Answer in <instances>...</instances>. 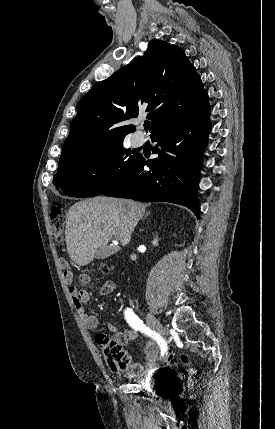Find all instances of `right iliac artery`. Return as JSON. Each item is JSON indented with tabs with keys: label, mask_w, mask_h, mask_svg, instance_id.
<instances>
[{
	"label": "right iliac artery",
	"mask_w": 275,
	"mask_h": 429,
	"mask_svg": "<svg viewBox=\"0 0 275 429\" xmlns=\"http://www.w3.org/2000/svg\"><path fill=\"white\" fill-rule=\"evenodd\" d=\"M124 315H125L126 321L128 322V324L133 329H135L136 331L138 330V331L148 335L149 337L153 338L158 343V345L161 348V355L163 356L167 350V344H166L165 340L160 336V334H158L154 330L147 327L143 323V321L137 315H135L134 312L130 308H127L124 311Z\"/></svg>",
	"instance_id": "1"
}]
</instances>
